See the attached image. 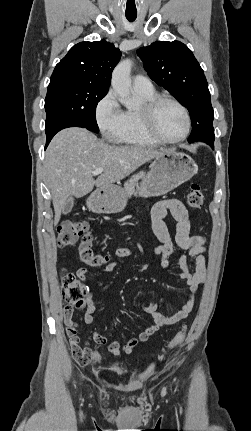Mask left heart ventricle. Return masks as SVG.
Instances as JSON below:
<instances>
[{"instance_id":"1","label":"left heart ventricle","mask_w":251,"mask_h":431,"mask_svg":"<svg viewBox=\"0 0 251 431\" xmlns=\"http://www.w3.org/2000/svg\"><path fill=\"white\" fill-rule=\"evenodd\" d=\"M156 128L165 139L179 138L185 129V119L182 111L172 103L160 106L155 117Z\"/></svg>"}]
</instances>
